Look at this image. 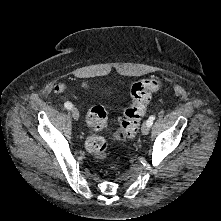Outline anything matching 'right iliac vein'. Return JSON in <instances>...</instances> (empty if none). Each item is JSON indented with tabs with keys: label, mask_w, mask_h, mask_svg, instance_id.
<instances>
[{
	"label": "right iliac vein",
	"mask_w": 221,
	"mask_h": 221,
	"mask_svg": "<svg viewBox=\"0 0 221 221\" xmlns=\"http://www.w3.org/2000/svg\"><path fill=\"white\" fill-rule=\"evenodd\" d=\"M71 113H72V117L74 118V120L79 119L80 114L77 108H72Z\"/></svg>",
	"instance_id": "right-iliac-vein-1"
}]
</instances>
